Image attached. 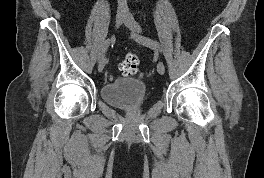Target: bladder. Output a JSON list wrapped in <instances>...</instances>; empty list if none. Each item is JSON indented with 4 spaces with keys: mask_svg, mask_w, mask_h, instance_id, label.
<instances>
[{
    "mask_svg": "<svg viewBox=\"0 0 264 178\" xmlns=\"http://www.w3.org/2000/svg\"><path fill=\"white\" fill-rule=\"evenodd\" d=\"M101 97L109 105L118 108H133L147 97L146 83L130 76L117 77L101 88Z\"/></svg>",
    "mask_w": 264,
    "mask_h": 178,
    "instance_id": "1",
    "label": "bladder"
}]
</instances>
